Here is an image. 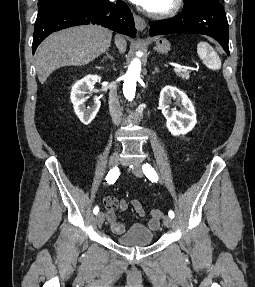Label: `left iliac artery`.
Returning <instances> with one entry per match:
<instances>
[{
  "label": "left iliac artery",
  "instance_id": "left-iliac-artery-1",
  "mask_svg": "<svg viewBox=\"0 0 255 287\" xmlns=\"http://www.w3.org/2000/svg\"><path fill=\"white\" fill-rule=\"evenodd\" d=\"M142 170H143V173L146 175V177L151 181V182H157L158 181V176H157V173L156 171L154 170V168L149 165V164H144L142 166ZM169 217L172 219L174 218V212L173 211H169L168 213Z\"/></svg>",
  "mask_w": 255,
  "mask_h": 287
}]
</instances>
